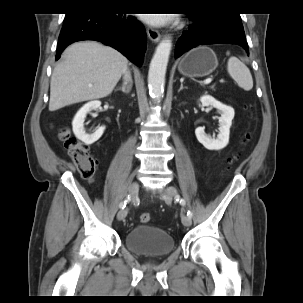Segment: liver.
<instances>
[{
  "label": "liver",
  "instance_id": "1",
  "mask_svg": "<svg viewBox=\"0 0 303 303\" xmlns=\"http://www.w3.org/2000/svg\"><path fill=\"white\" fill-rule=\"evenodd\" d=\"M126 66L127 59L111 47L93 41L70 45L51 77L49 111L108 96Z\"/></svg>",
  "mask_w": 303,
  "mask_h": 303
}]
</instances>
